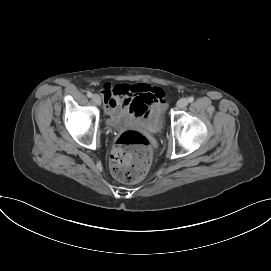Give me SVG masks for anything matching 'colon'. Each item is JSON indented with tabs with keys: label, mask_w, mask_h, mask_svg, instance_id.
Instances as JSON below:
<instances>
[{
	"label": "colon",
	"mask_w": 271,
	"mask_h": 271,
	"mask_svg": "<svg viewBox=\"0 0 271 271\" xmlns=\"http://www.w3.org/2000/svg\"><path fill=\"white\" fill-rule=\"evenodd\" d=\"M152 162V149L148 138L141 132L122 133L111 152L110 168L113 176L126 183L143 179Z\"/></svg>",
	"instance_id": "obj_1"
}]
</instances>
